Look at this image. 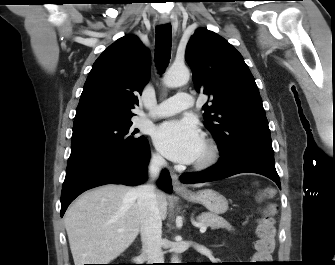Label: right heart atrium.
Listing matches in <instances>:
<instances>
[{"instance_id":"1","label":"right heart atrium","mask_w":335,"mask_h":265,"mask_svg":"<svg viewBox=\"0 0 335 265\" xmlns=\"http://www.w3.org/2000/svg\"><path fill=\"white\" fill-rule=\"evenodd\" d=\"M152 161L157 165H160L163 163V159L158 153H153Z\"/></svg>"}]
</instances>
